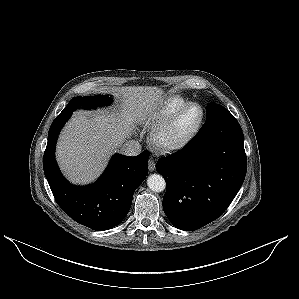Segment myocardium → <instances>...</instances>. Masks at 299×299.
<instances>
[{
  "mask_svg": "<svg viewBox=\"0 0 299 299\" xmlns=\"http://www.w3.org/2000/svg\"><path fill=\"white\" fill-rule=\"evenodd\" d=\"M190 106H197L201 110V117L197 124V126L180 142L175 144H164L161 141V136L174 124L177 118L181 115L183 111H185ZM205 121V110L204 107L198 102H187L179 109H177L173 114H171L168 118L160 122L156 125L150 134V142L152 147L163 154H171L178 152L184 148H186L198 135Z\"/></svg>",
  "mask_w": 299,
  "mask_h": 299,
  "instance_id": "f54148a6",
  "label": "myocardium"
}]
</instances>
